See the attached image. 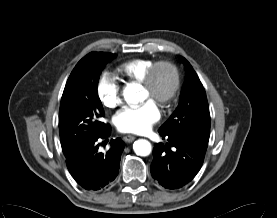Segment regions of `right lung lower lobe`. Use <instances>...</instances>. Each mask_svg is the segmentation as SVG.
Wrapping results in <instances>:
<instances>
[{
	"instance_id": "obj_1",
	"label": "right lung lower lobe",
	"mask_w": 277,
	"mask_h": 218,
	"mask_svg": "<svg viewBox=\"0 0 277 218\" xmlns=\"http://www.w3.org/2000/svg\"><path fill=\"white\" fill-rule=\"evenodd\" d=\"M111 127L99 137L87 142L66 156L67 167L74 179L85 189L100 190L118 175L119 162L125 143L117 138L111 140L107 153L100 152L99 141L106 145Z\"/></svg>"
}]
</instances>
